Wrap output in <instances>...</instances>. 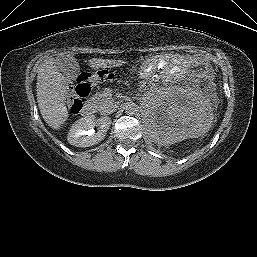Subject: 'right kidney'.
I'll return each mask as SVG.
<instances>
[{
	"mask_svg": "<svg viewBox=\"0 0 257 257\" xmlns=\"http://www.w3.org/2000/svg\"><path fill=\"white\" fill-rule=\"evenodd\" d=\"M111 125V119L101 117L96 120L93 116H86L77 120L71 127L67 140L76 147H89L102 141ZM98 126L95 131L93 128Z\"/></svg>",
	"mask_w": 257,
	"mask_h": 257,
	"instance_id": "ca27d5eb",
	"label": "right kidney"
}]
</instances>
